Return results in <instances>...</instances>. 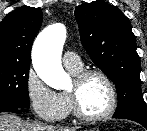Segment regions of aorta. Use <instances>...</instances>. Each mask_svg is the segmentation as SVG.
<instances>
[{
	"label": "aorta",
	"mask_w": 147,
	"mask_h": 131,
	"mask_svg": "<svg viewBox=\"0 0 147 131\" xmlns=\"http://www.w3.org/2000/svg\"><path fill=\"white\" fill-rule=\"evenodd\" d=\"M65 39L64 25L53 24L38 35L32 49V63L36 73L48 86L57 90L70 84L69 75L61 64Z\"/></svg>",
	"instance_id": "aorta-1"
}]
</instances>
